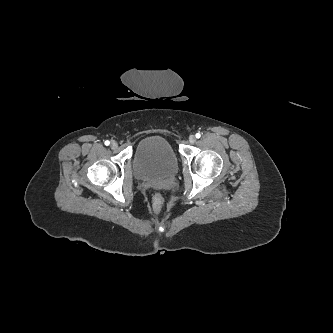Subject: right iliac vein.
Instances as JSON below:
<instances>
[{
  "label": "right iliac vein",
  "mask_w": 333,
  "mask_h": 333,
  "mask_svg": "<svg viewBox=\"0 0 333 333\" xmlns=\"http://www.w3.org/2000/svg\"><path fill=\"white\" fill-rule=\"evenodd\" d=\"M117 146H118V144H117L116 141H112V142H111V148H112V149H116Z\"/></svg>",
  "instance_id": "63e3f726"
}]
</instances>
